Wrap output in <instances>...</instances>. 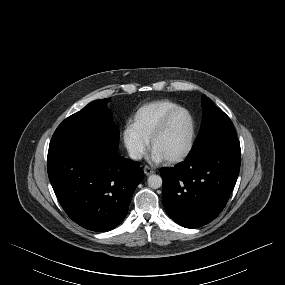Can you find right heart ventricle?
<instances>
[{"label": "right heart ventricle", "mask_w": 285, "mask_h": 285, "mask_svg": "<svg viewBox=\"0 0 285 285\" xmlns=\"http://www.w3.org/2000/svg\"><path fill=\"white\" fill-rule=\"evenodd\" d=\"M176 107L179 105L168 99L145 103L134 112L131 125L144 139L150 140L161 119Z\"/></svg>", "instance_id": "1"}]
</instances>
